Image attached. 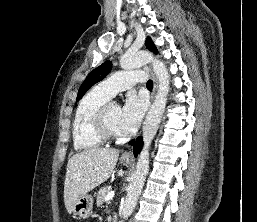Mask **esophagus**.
I'll list each match as a JSON object with an SVG mask.
<instances>
[{
	"instance_id": "esophagus-1",
	"label": "esophagus",
	"mask_w": 257,
	"mask_h": 222,
	"mask_svg": "<svg viewBox=\"0 0 257 222\" xmlns=\"http://www.w3.org/2000/svg\"><path fill=\"white\" fill-rule=\"evenodd\" d=\"M147 71L151 74L152 78H153V82H154V88H153V92H152V101L155 99L156 97V92H157V89H158V81H157V78L155 76V74L153 73L152 71V68L150 66H147ZM125 157H131L132 156V152L129 150V151H126L124 154H123Z\"/></svg>"
}]
</instances>
